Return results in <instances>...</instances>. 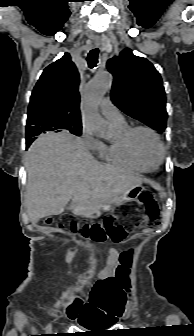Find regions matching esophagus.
I'll return each instance as SVG.
<instances>
[{
    "mask_svg": "<svg viewBox=\"0 0 194 336\" xmlns=\"http://www.w3.org/2000/svg\"><path fill=\"white\" fill-rule=\"evenodd\" d=\"M95 43H96L97 45H100V44H101V40H96Z\"/></svg>",
    "mask_w": 194,
    "mask_h": 336,
    "instance_id": "obj_1",
    "label": "esophagus"
}]
</instances>
